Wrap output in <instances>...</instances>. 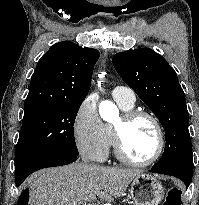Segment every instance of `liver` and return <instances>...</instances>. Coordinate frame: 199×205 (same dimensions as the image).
I'll list each match as a JSON object with an SVG mask.
<instances>
[{"label":"liver","mask_w":199,"mask_h":205,"mask_svg":"<svg viewBox=\"0 0 199 205\" xmlns=\"http://www.w3.org/2000/svg\"><path fill=\"white\" fill-rule=\"evenodd\" d=\"M140 170L72 163L32 174L29 205H94L90 196L105 201L120 197Z\"/></svg>","instance_id":"liver-1"}]
</instances>
